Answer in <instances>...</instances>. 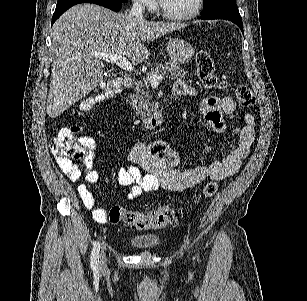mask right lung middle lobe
I'll list each match as a JSON object with an SVG mask.
<instances>
[{"label":"right lung middle lobe","mask_w":307,"mask_h":301,"mask_svg":"<svg viewBox=\"0 0 307 301\" xmlns=\"http://www.w3.org/2000/svg\"><path fill=\"white\" fill-rule=\"evenodd\" d=\"M71 0H58L57 4L65 3ZM121 2H126L127 0H120Z\"/></svg>","instance_id":"dd1d6c3e"}]
</instances>
